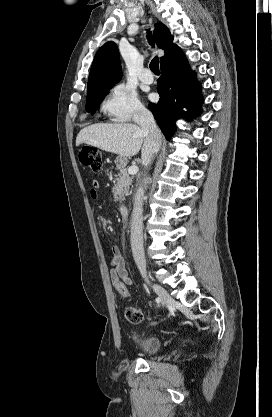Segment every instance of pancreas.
<instances>
[{"mask_svg":"<svg viewBox=\"0 0 272 417\" xmlns=\"http://www.w3.org/2000/svg\"><path fill=\"white\" fill-rule=\"evenodd\" d=\"M132 182V177L129 176L127 169H121L116 175V183L112 188L115 201L122 203L125 200V196Z\"/></svg>","mask_w":272,"mask_h":417,"instance_id":"cf45deb5","label":"pancreas"}]
</instances>
